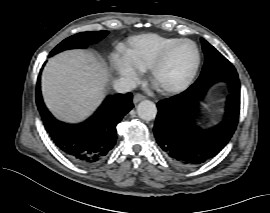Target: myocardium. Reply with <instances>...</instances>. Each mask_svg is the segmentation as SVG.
Returning a JSON list of instances; mask_svg holds the SVG:
<instances>
[{
  "mask_svg": "<svg viewBox=\"0 0 270 213\" xmlns=\"http://www.w3.org/2000/svg\"><path fill=\"white\" fill-rule=\"evenodd\" d=\"M182 43H189L194 47V50L196 53V63H195V66H194L192 72L184 81H182L179 84H176L173 86H158L156 81H155L157 71L165 63V61L168 59V57H169L170 53L173 51V49ZM200 61H201L200 52H199V49H198L197 45L195 44V42H193L192 40H189V39H179V40L173 42L172 44H170L169 46H167L153 60V62L151 63V65L149 67V69H150V82L163 95H171V94L180 93V92L186 90L192 84L193 80L195 79V77L198 73V69L200 67Z\"/></svg>",
  "mask_w": 270,
  "mask_h": 213,
  "instance_id": "1",
  "label": "myocardium"
}]
</instances>
